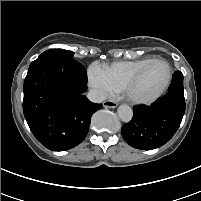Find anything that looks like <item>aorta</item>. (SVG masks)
<instances>
[{
	"instance_id": "762f6f07",
	"label": "aorta",
	"mask_w": 201,
	"mask_h": 201,
	"mask_svg": "<svg viewBox=\"0 0 201 201\" xmlns=\"http://www.w3.org/2000/svg\"><path fill=\"white\" fill-rule=\"evenodd\" d=\"M117 113L119 118L126 123L129 122L133 117V110L128 105L119 106L117 109Z\"/></svg>"
}]
</instances>
